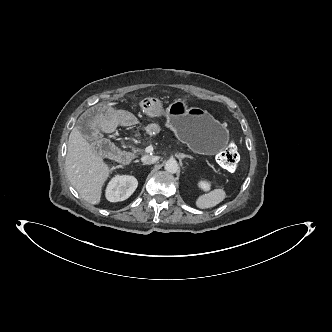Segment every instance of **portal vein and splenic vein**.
I'll return each mask as SVG.
<instances>
[{
	"label": "portal vein and splenic vein",
	"mask_w": 332,
	"mask_h": 332,
	"mask_svg": "<svg viewBox=\"0 0 332 332\" xmlns=\"http://www.w3.org/2000/svg\"><path fill=\"white\" fill-rule=\"evenodd\" d=\"M147 148H149L151 151L153 150V147H150V146H149V147H147Z\"/></svg>",
	"instance_id": "18ae733b"
}]
</instances>
